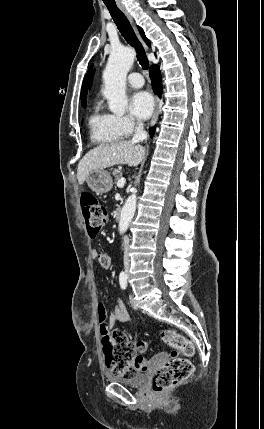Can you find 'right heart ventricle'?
<instances>
[{"instance_id": "e07e8e85", "label": "right heart ventricle", "mask_w": 264, "mask_h": 429, "mask_svg": "<svg viewBox=\"0 0 264 429\" xmlns=\"http://www.w3.org/2000/svg\"><path fill=\"white\" fill-rule=\"evenodd\" d=\"M90 138L97 144H111L122 138L116 127L114 115L104 111L99 103H96L89 116Z\"/></svg>"}]
</instances>
